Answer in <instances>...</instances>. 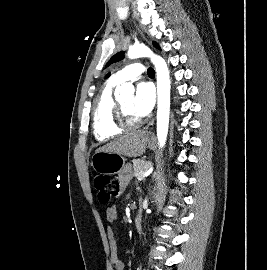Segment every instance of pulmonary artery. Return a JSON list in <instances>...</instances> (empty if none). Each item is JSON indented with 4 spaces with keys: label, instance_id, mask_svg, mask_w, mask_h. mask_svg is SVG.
<instances>
[{
    "label": "pulmonary artery",
    "instance_id": "obj_1",
    "mask_svg": "<svg viewBox=\"0 0 267 270\" xmlns=\"http://www.w3.org/2000/svg\"><path fill=\"white\" fill-rule=\"evenodd\" d=\"M144 72L145 67L142 64L134 63L116 72L113 76V79L118 83L125 81H135L139 79Z\"/></svg>",
    "mask_w": 267,
    "mask_h": 270
}]
</instances>
